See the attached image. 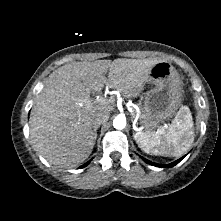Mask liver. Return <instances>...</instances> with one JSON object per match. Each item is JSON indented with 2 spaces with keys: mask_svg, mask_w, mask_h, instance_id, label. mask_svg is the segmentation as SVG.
Masks as SVG:
<instances>
[{
  "mask_svg": "<svg viewBox=\"0 0 221 221\" xmlns=\"http://www.w3.org/2000/svg\"><path fill=\"white\" fill-rule=\"evenodd\" d=\"M159 61L73 62L52 72L32 108L30 137L36 149L53 165L72 168L84 162L95 145L93 114L113 110V100L92 101L90 93L107 85L125 98L137 97Z\"/></svg>",
  "mask_w": 221,
  "mask_h": 221,
  "instance_id": "obj_1",
  "label": "liver"
}]
</instances>
